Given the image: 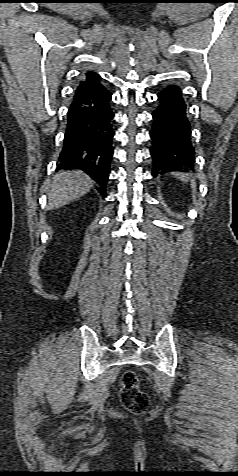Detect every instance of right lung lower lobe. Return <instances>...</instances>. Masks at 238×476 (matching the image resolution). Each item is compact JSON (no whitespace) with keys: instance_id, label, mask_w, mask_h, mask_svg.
<instances>
[{"instance_id":"obj_1","label":"right lung lower lobe","mask_w":238,"mask_h":476,"mask_svg":"<svg viewBox=\"0 0 238 476\" xmlns=\"http://www.w3.org/2000/svg\"><path fill=\"white\" fill-rule=\"evenodd\" d=\"M75 96L67 113V128L57 171L86 172L106 193L113 155L111 93L98 81Z\"/></svg>"}]
</instances>
